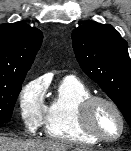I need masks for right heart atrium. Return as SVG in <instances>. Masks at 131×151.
Returning a JSON list of instances; mask_svg holds the SVG:
<instances>
[{"label":"right heart atrium","mask_w":131,"mask_h":151,"mask_svg":"<svg viewBox=\"0 0 131 151\" xmlns=\"http://www.w3.org/2000/svg\"><path fill=\"white\" fill-rule=\"evenodd\" d=\"M44 93L45 86L39 79L29 81L20 91L18 98L20 115L31 132H35L42 124L45 111Z\"/></svg>","instance_id":"d8ad5b80"}]
</instances>
